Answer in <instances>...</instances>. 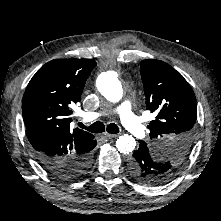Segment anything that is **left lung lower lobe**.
Masks as SVG:
<instances>
[{
    "instance_id": "obj_1",
    "label": "left lung lower lobe",
    "mask_w": 221,
    "mask_h": 221,
    "mask_svg": "<svg viewBox=\"0 0 221 221\" xmlns=\"http://www.w3.org/2000/svg\"><path fill=\"white\" fill-rule=\"evenodd\" d=\"M140 146L129 160L131 175L139 182L147 185H157L156 175L162 169L159 163L152 156L147 144L139 141Z\"/></svg>"
}]
</instances>
